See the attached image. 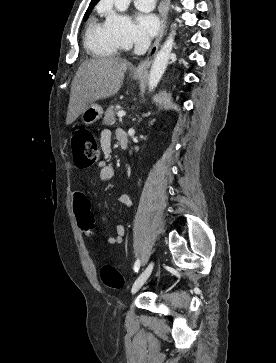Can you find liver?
Returning <instances> with one entry per match:
<instances>
[{"label": "liver", "instance_id": "obj_1", "mask_svg": "<svg viewBox=\"0 0 276 363\" xmlns=\"http://www.w3.org/2000/svg\"><path fill=\"white\" fill-rule=\"evenodd\" d=\"M128 66L120 58L85 60L72 81L66 124L73 123L89 104L115 95Z\"/></svg>", "mask_w": 276, "mask_h": 363}]
</instances>
